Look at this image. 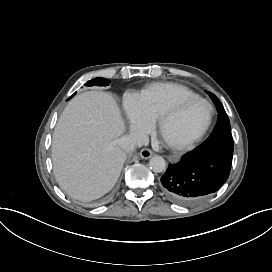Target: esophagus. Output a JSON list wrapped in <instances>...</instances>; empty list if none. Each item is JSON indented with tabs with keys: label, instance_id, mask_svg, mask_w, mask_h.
Instances as JSON below:
<instances>
[{
	"label": "esophagus",
	"instance_id": "34e87169",
	"mask_svg": "<svg viewBox=\"0 0 272 272\" xmlns=\"http://www.w3.org/2000/svg\"><path fill=\"white\" fill-rule=\"evenodd\" d=\"M139 155L142 159H149L152 157L153 152L150 149L144 148L140 151Z\"/></svg>",
	"mask_w": 272,
	"mask_h": 272
}]
</instances>
